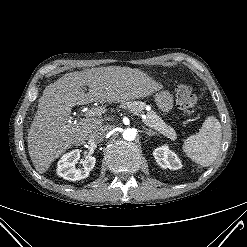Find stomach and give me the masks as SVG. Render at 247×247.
<instances>
[{"mask_svg": "<svg viewBox=\"0 0 247 247\" xmlns=\"http://www.w3.org/2000/svg\"><path fill=\"white\" fill-rule=\"evenodd\" d=\"M155 102L160 110L169 112L173 108V96L168 91H161L155 95Z\"/></svg>", "mask_w": 247, "mask_h": 247, "instance_id": "stomach-1", "label": "stomach"}]
</instances>
